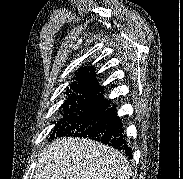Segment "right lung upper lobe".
<instances>
[{
  "mask_svg": "<svg viewBox=\"0 0 183 179\" xmlns=\"http://www.w3.org/2000/svg\"><path fill=\"white\" fill-rule=\"evenodd\" d=\"M95 78L96 73L92 66L78 69L75 81L71 83L70 89L67 88L68 97L65 102L87 97H101L99 93L104 90V87L99 86Z\"/></svg>",
  "mask_w": 183,
  "mask_h": 179,
  "instance_id": "right-lung-upper-lobe-1",
  "label": "right lung upper lobe"
}]
</instances>
